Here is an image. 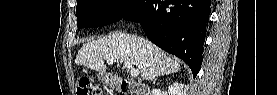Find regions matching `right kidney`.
Listing matches in <instances>:
<instances>
[{
    "instance_id": "ca27d5eb",
    "label": "right kidney",
    "mask_w": 277,
    "mask_h": 95,
    "mask_svg": "<svg viewBox=\"0 0 277 95\" xmlns=\"http://www.w3.org/2000/svg\"><path fill=\"white\" fill-rule=\"evenodd\" d=\"M169 94L171 95H186V92H183L182 86L179 84H173L169 88Z\"/></svg>"
}]
</instances>
